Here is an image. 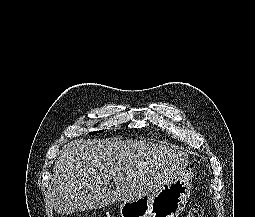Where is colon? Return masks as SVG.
Here are the masks:
<instances>
[{
    "label": "colon",
    "instance_id": "obj_1",
    "mask_svg": "<svg viewBox=\"0 0 255 217\" xmlns=\"http://www.w3.org/2000/svg\"><path fill=\"white\" fill-rule=\"evenodd\" d=\"M186 217H204L203 209L199 205H193L188 210Z\"/></svg>",
    "mask_w": 255,
    "mask_h": 217
}]
</instances>
